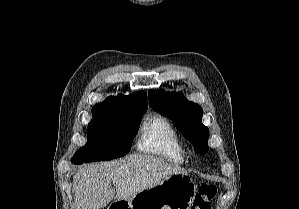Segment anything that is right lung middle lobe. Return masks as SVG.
Listing matches in <instances>:
<instances>
[{
  "label": "right lung middle lobe",
  "mask_w": 299,
  "mask_h": 209,
  "mask_svg": "<svg viewBox=\"0 0 299 209\" xmlns=\"http://www.w3.org/2000/svg\"><path fill=\"white\" fill-rule=\"evenodd\" d=\"M145 112L135 114H97L87 127V144L73 156L71 162L107 161L126 155L131 148L135 131Z\"/></svg>",
  "instance_id": "1"
}]
</instances>
